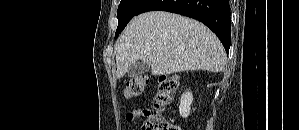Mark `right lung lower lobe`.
Masks as SVG:
<instances>
[{"label":"right lung lower lobe","mask_w":299,"mask_h":130,"mask_svg":"<svg viewBox=\"0 0 299 130\" xmlns=\"http://www.w3.org/2000/svg\"><path fill=\"white\" fill-rule=\"evenodd\" d=\"M147 11H168L201 21L218 36L226 52H229V0H147L136 15Z\"/></svg>","instance_id":"1"}]
</instances>
